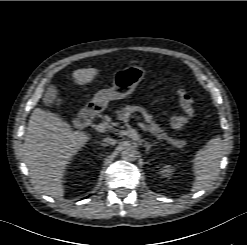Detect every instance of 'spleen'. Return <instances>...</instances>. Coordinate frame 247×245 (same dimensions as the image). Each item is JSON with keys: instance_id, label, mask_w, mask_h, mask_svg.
<instances>
[{"instance_id": "obj_1", "label": "spleen", "mask_w": 247, "mask_h": 245, "mask_svg": "<svg viewBox=\"0 0 247 245\" xmlns=\"http://www.w3.org/2000/svg\"><path fill=\"white\" fill-rule=\"evenodd\" d=\"M222 147L221 138L216 137L197 151L193 159V171L195 174V181L192 187L193 192L209 185L216 176L222 158Z\"/></svg>"}]
</instances>
